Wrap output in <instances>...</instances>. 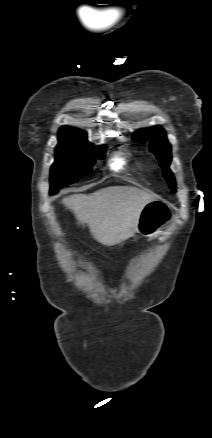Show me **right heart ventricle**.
I'll list each match as a JSON object with an SVG mask.
<instances>
[{
    "mask_svg": "<svg viewBox=\"0 0 212 438\" xmlns=\"http://www.w3.org/2000/svg\"><path fill=\"white\" fill-rule=\"evenodd\" d=\"M121 165H122V161H121V160H117V161L114 163L113 167H114L115 169H118Z\"/></svg>",
    "mask_w": 212,
    "mask_h": 438,
    "instance_id": "right-heart-ventricle-1",
    "label": "right heart ventricle"
}]
</instances>
